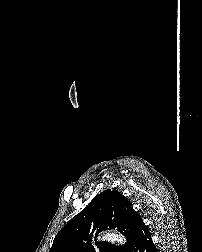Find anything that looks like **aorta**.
I'll return each instance as SVG.
<instances>
[{
  "instance_id": "aorta-1",
  "label": "aorta",
  "mask_w": 202,
  "mask_h": 252,
  "mask_svg": "<svg viewBox=\"0 0 202 252\" xmlns=\"http://www.w3.org/2000/svg\"><path fill=\"white\" fill-rule=\"evenodd\" d=\"M105 239L111 243L123 244L125 242V238L115 232H108L105 234Z\"/></svg>"
}]
</instances>
